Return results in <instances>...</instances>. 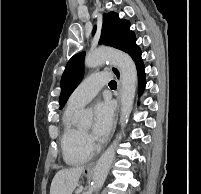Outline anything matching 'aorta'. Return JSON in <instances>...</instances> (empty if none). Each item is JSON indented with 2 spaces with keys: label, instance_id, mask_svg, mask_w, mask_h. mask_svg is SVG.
<instances>
[{
  "label": "aorta",
  "instance_id": "762f6f07",
  "mask_svg": "<svg viewBox=\"0 0 201 194\" xmlns=\"http://www.w3.org/2000/svg\"><path fill=\"white\" fill-rule=\"evenodd\" d=\"M116 65L121 72V117L120 124L125 126L128 122L129 115L132 111L137 83V69L132 58L122 51L102 47L90 51L86 57L84 64L88 68H95L104 63ZM78 119L83 125H88L92 120V112L90 110H81L78 113ZM121 134L117 135L113 143L99 158L93 174L92 188L97 192L103 186L109 169L115 158V150Z\"/></svg>",
  "mask_w": 201,
  "mask_h": 194
}]
</instances>
